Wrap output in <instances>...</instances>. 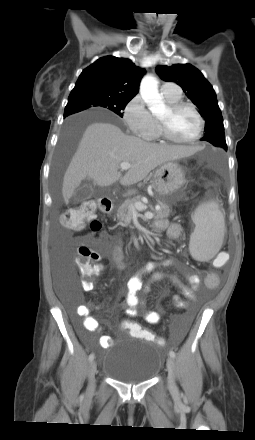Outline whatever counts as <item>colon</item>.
<instances>
[{"instance_id":"1","label":"colon","mask_w":255,"mask_h":440,"mask_svg":"<svg viewBox=\"0 0 255 440\" xmlns=\"http://www.w3.org/2000/svg\"><path fill=\"white\" fill-rule=\"evenodd\" d=\"M95 209V203L91 201L84 202L75 208L66 210L61 215V223L63 226L74 230L89 227L93 232L96 233L100 229L101 225L96 219ZM78 255L81 258L80 268L84 277L87 279L85 283L91 284L88 279L99 275L101 272V266L96 263L99 259V254L86 245H80L78 248ZM212 274L218 276L216 273ZM209 279L210 277L207 278V281H209ZM174 303V308L177 311H187L190 300L189 298H176ZM123 327L133 337L153 342L156 346H163L166 343V340L163 338V336L158 338L157 335L132 320H125L123 322Z\"/></svg>"}]
</instances>
